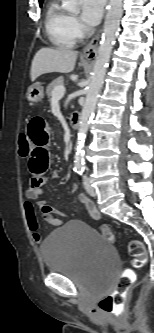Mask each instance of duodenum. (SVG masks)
Segmentation results:
<instances>
[{
	"label": "duodenum",
	"instance_id": "duodenum-1",
	"mask_svg": "<svg viewBox=\"0 0 154 333\" xmlns=\"http://www.w3.org/2000/svg\"><path fill=\"white\" fill-rule=\"evenodd\" d=\"M81 124V114L78 111H74L70 117V125L73 129H78Z\"/></svg>",
	"mask_w": 154,
	"mask_h": 333
}]
</instances>
